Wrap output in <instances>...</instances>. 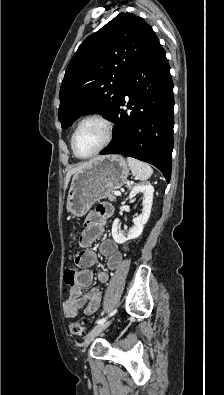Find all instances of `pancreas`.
I'll return each mask as SVG.
<instances>
[{
	"mask_svg": "<svg viewBox=\"0 0 224 395\" xmlns=\"http://www.w3.org/2000/svg\"><path fill=\"white\" fill-rule=\"evenodd\" d=\"M107 197L109 198L110 201H115V200H116V197H115V195L113 194V192H110V193L107 195Z\"/></svg>",
	"mask_w": 224,
	"mask_h": 395,
	"instance_id": "pancreas-1",
	"label": "pancreas"
}]
</instances>
